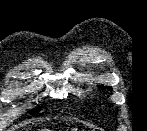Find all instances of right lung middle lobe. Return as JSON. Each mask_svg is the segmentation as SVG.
I'll return each mask as SVG.
<instances>
[{
	"label": "right lung middle lobe",
	"instance_id": "dd1d6c3e",
	"mask_svg": "<svg viewBox=\"0 0 147 131\" xmlns=\"http://www.w3.org/2000/svg\"><path fill=\"white\" fill-rule=\"evenodd\" d=\"M36 112H38V109H35V110L31 111V114H34Z\"/></svg>",
	"mask_w": 147,
	"mask_h": 131
}]
</instances>
